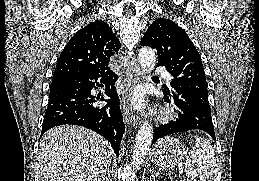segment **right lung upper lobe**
Masks as SVG:
<instances>
[{"label": "right lung upper lobe", "instance_id": "obj_1", "mask_svg": "<svg viewBox=\"0 0 259 181\" xmlns=\"http://www.w3.org/2000/svg\"><path fill=\"white\" fill-rule=\"evenodd\" d=\"M120 49V41L102 20L78 31L61 52L51 85L71 77L108 69L110 57Z\"/></svg>", "mask_w": 259, "mask_h": 181}]
</instances>
